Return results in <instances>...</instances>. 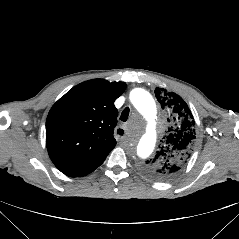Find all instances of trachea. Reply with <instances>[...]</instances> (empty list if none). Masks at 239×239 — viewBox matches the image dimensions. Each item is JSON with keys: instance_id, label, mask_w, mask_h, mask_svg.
I'll use <instances>...</instances> for the list:
<instances>
[{"instance_id": "3493384b", "label": "trachea", "mask_w": 239, "mask_h": 239, "mask_svg": "<svg viewBox=\"0 0 239 239\" xmlns=\"http://www.w3.org/2000/svg\"><path fill=\"white\" fill-rule=\"evenodd\" d=\"M129 112H130L129 107H126L121 113L120 120H122L124 122L127 121L128 116H129Z\"/></svg>"}]
</instances>
